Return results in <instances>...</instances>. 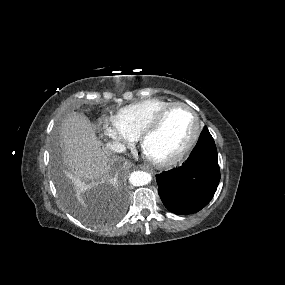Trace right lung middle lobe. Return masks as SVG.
Returning <instances> with one entry per match:
<instances>
[{
	"label": "right lung middle lobe",
	"mask_w": 285,
	"mask_h": 285,
	"mask_svg": "<svg viewBox=\"0 0 285 285\" xmlns=\"http://www.w3.org/2000/svg\"><path fill=\"white\" fill-rule=\"evenodd\" d=\"M62 191H63L64 195L67 196V194H66V189H64V187H62ZM78 214H80V213L78 212ZM82 215H83V214H80V216H82ZM82 217H84L85 220H86V221H89L90 223H100L98 220H96V219L93 218V217L85 216V215H83Z\"/></svg>",
	"instance_id": "obj_1"
}]
</instances>
